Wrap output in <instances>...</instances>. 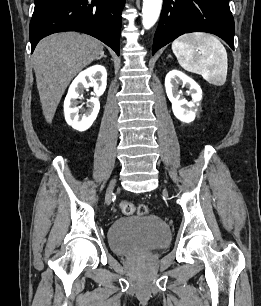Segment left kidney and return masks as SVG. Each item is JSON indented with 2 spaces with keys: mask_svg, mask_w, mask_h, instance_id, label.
Wrapping results in <instances>:
<instances>
[{
  "mask_svg": "<svg viewBox=\"0 0 261 306\" xmlns=\"http://www.w3.org/2000/svg\"><path fill=\"white\" fill-rule=\"evenodd\" d=\"M179 85L189 87L191 101L188 102L181 97V92L178 90ZM165 89L168 99L172 103V111L175 117L184 123L194 121L202 100L200 86L184 73L172 70L166 75Z\"/></svg>",
  "mask_w": 261,
  "mask_h": 306,
  "instance_id": "5707ae66",
  "label": "left kidney"
}]
</instances>
